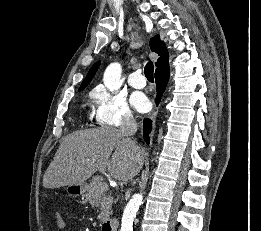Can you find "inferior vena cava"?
<instances>
[{
	"instance_id": "1",
	"label": "inferior vena cava",
	"mask_w": 261,
	"mask_h": 231,
	"mask_svg": "<svg viewBox=\"0 0 261 231\" xmlns=\"http://www.w3.org/2000/svg\"><path fill=\"white\" fill-rule=\"evenodd\" d=\"M121 134L125 140L131 145H136V143L131 139V136L134 135L137 131V124L135 119L132 116H126L120 126Z\"/></svg>"
}]
</instances>
